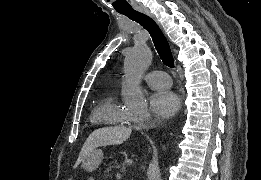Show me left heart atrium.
Segmentation results:
<instances>
[{
    "label": "left heart atrium",
    "mask_w": 261,
    "mask_h": 180,
    "mask_svg": "<svg viewBox=\"0 0 261 180\" xmlns=\"http://www.w3.org/2000/svg\"><path fill=\"white\" fill-rule=\"evenodd\" d=\"M178 106V97L173 92L159 89L150 95L146 112L140 117L145 118L148 115H155L156 117L167 118L176 112Z\"/></svg>",
    "instance_id": "left-heart-atrium-1"
}]
</instances>
